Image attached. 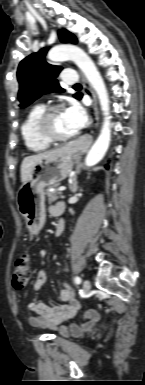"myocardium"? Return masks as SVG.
<instances>
[{"mask_svg": "<svg viewBox=\"0 0 145 385\" xmlns=\"http://www.w3.org/2000/svg\"><path fill=\"white\" fill-rule=\"evenodd\" d=\"M63 107L61 105H52L44 109L42 114L39 116L36 124V129L41 138L49 143H57V142H67L77 136L75 132L69 136H57L51 130V119L53 115L62 110Z\"/></svg>", "mask_w": 145, "mask_h": 385, "instance_id": "myocardium-1", "label": "myocardium"}]
</instances>
